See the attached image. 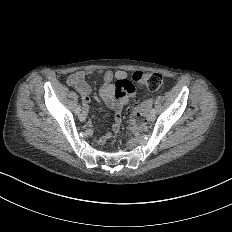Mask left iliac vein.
Returning a JSON list of instances; mask_svg holds the SVG:
<instances>
[{
  "mask_svg": "<svg viewBox=\"0 0 232 232\" xmlns=\"http://www.w3.org/2000/svg\"><path fill=\"white\" fill-rule=\"evenodd\" d=\"M147 119H148L149 121L154 120V119H155V114H154V113H148V114H147Z\"/></svg>",
  "mask_w": 232,
  "mask_h": 232,
  "instance_id": "left-iliac-vein-1",
  "label": "left iliac vein"
}]
</instances>
